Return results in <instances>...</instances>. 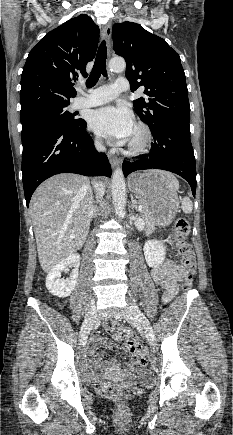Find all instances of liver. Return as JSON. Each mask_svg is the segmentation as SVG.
Listing matches in <instances>:
<instances>
[{
    "mask_svg": "<svg viewBox=\"0 0 233 435\" xmlns=\"http://www.w3.org/2000/svg\"><path fill=\"white\" fill-rule=\"evenodd\" d=\"M29 209L40 266L48 273L86 241L94 211L90 182L76 174H57L35 190Z\"/></svg>",
    "mask_w": 233,
    "mask_h": 435,
    "instance_id": "obj_1",
    "label": "liver"
}]
</instances>
